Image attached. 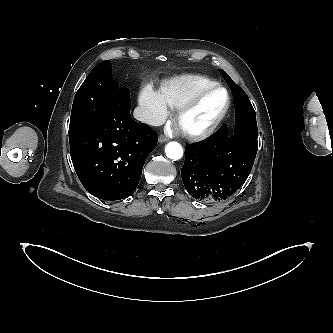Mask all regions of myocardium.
<instances>
[{
  "instance_id": "f54148a6",
  "label": "myocardium",
  "mask_w": 333,
  "mask_h": 333,
  "mask_svg": "<svg viewBox=\"0 0 333 333\" xmlns=\"http://www.w3.org/2000/svg\"><path fill=\"white\" fill-rule=\"evenodd\" d=\"M217 90H223L226 94V102L222 110L219 112V114L206 126L199 128V129H190L187 128L184 125V119L185 117L194 110L198 104L210 93L217 91ZM232 104V98L229 90L221 85V84H214L212 86H209L207 88H204L203 90L199 91L196 95H194L189 101H187L183 106H181L176 113L174 122L175 126L178 129V131L186 138L191 140H202L209 136H211L218 127L222 124V122L225 120L227 114L230 111Z\"/></svg>"
}]
</instances>
